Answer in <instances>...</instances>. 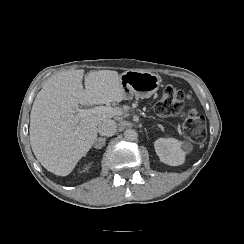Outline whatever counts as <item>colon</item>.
<instances>
[{
  "label": "colon",
  "instance_id": "5ec220e1",
  "mask_svg": "<svg viewBox=\"0 0 244 244\" xmlns=\"http://www.w3.org/2000/svg\"><path fill=\"white\" fill-rule=\"evenodd\" d=\"M162 117H178L185 121L184 130L190 141L202 143L207 135L204 116L192 102L185 101L184 93L174 84H168L160 96L156 106Z\"/></svg>",
  "mask_w": 244,
  "mask_h": 244
}]
</instances>
